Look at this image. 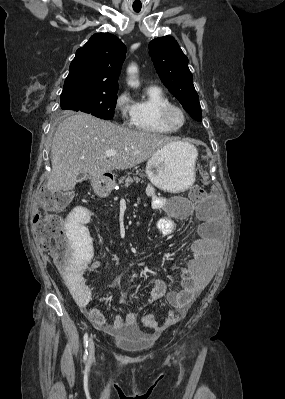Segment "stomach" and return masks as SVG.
<instances>
[{"instance_id": "stomach-1", "label": "stomach", "mask_w": 285, "mask_h": 399, "mask_svg": "<svg viewBox=\"0 0 285 399\" xmlns=\"http://www.w3.org/2000/svg\"><path fill=\"white\" fill-rule=\"evenodd\" d=\"M196 148L185 142L171 143L149 158L146 164L148 179L158 188L168 192L187 189L195 180ZM94 193L107 197L115 187V182L106 176L92 180Z\"/></svg>"}]
</instances>
